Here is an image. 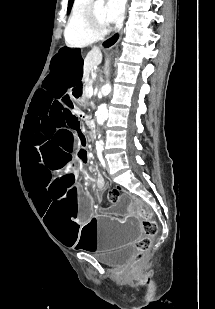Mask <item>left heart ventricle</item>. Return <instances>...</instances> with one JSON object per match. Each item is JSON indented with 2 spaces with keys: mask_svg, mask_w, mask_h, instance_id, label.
I'll return each instance as SVG.
<instances>
[{
  "mask_svg": "<svg viewBox=\"0 0 215 309\" xmlns=\"http://www.w3.org/2000/svg\"><path fill=\"white\" fill-rule=\"evenodd\" d=\"M97 15H100V12H97ZM97 23H100V20H97Z\"/></svg>",
  "mask_w": 215,
  "mask_h": 309,
  "instance_id": "b2bd125f",
  "label": "left heart ventricle"
}]
</instances>
